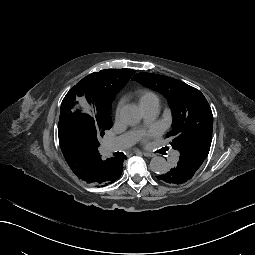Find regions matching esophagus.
Instances as JSON below:
<instances>
[{
    "label": "esophagus",
    "mask_w": 255,
    "mask_h": 255,
    "mask_svg": "<svg viewBox=\"0 0 255 255\" xmlns=\"http://www.w3.org/2000/svg\"><path fill=\"white\" fill-rule=\"evenodd\" d=\"M143 155H144L145 157H153V156H154V154L148 153V152H144Z\"/></svg>",
    "instance_id": "obj_1"
}]
</instances>
